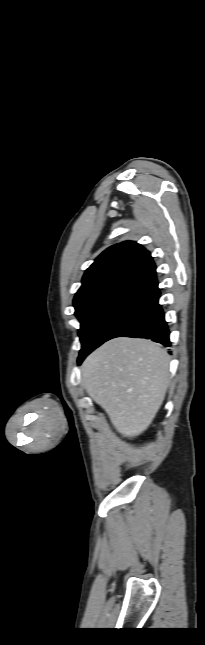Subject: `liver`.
Segmentation results:
<instances>
[{
	"instance_id": "6515ba94",
	"label": "liver",
	"mask_w": 205,
	"mask_h": 645,
	"mask_svg": "<svg viewBox=\"0 0 205 645\" xmlns=\"http://www.w3.org/2000/svg\"><path fill=\"white\" fill-rule=\"evenodd\" d=\"M170 357L155 342L115 338L81 366L88 395L108 414L123 437L134 438L152 423L169 385Z\"/></svg>"
}]
</instances>
